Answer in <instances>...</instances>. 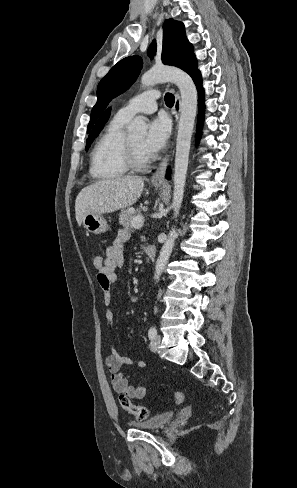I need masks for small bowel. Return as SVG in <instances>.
Masks as SVG:
<instances>
[{
  "label": "small bowel",
  "instance_id": "1",
  "mask_svg": "<svg viewBox=\"0 0 297 488\" xmlns=\"http://www.w3.org/2000/svg\"><path fill=\"white\" fill-rule=\"evenodd\" d=\"M129 238V231L125 229L118 231L113 244L106 248L103 267L97 272V280L104 296L105 317L108 321L109 332H111V323L114 316L111 308V287L118 279L117 269L124 264L123 246ZM106 364L110 372L111 385L115 392L131 399H142L145 396L146 387L144 385H132L128 375L123 371V366L134 364L132 358L124 356L113 349L106 358ZM137 366L145 368L146 362L139 360L137 361Z\"/></svg>",
  "mask_w": 297,
  "mask_h": 488
}]
</instances>
